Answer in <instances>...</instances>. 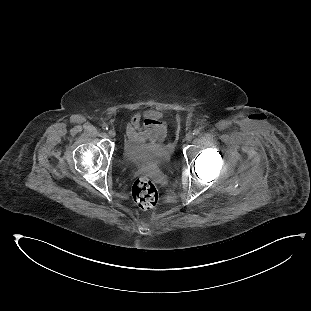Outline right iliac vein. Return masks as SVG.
I'll return each instance as SVG.
<instances>
[{"mask_svg": "<svg viewBox=\"0 0 311 311\" xmlns=\"http://www.w3.org/2000/svg\"><path fill=\"white\" fill-rule=\"evenodd\" d=\"M108 135L110 137H114L116 135L115 131L113 129L108 130Z\"/></svg>", "mask_w": 311, "mask_h": 311, "instance_id": "1", "label": "right iliac vein"}]
</instances>
